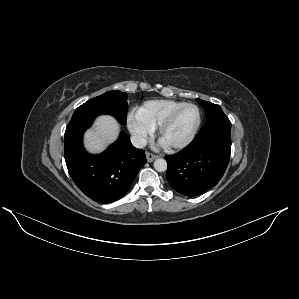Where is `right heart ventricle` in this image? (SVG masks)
I'll return each instance as SVG.
<instances>
[{"mask_svg": "<svg viewBox=\"0 0 299 299\" xmlns=\"http://www.w3.org/2000/svg\"><path fill=\"white\" fill-rule=\"evenodd\" d=\"M183 104L170 99L150 100L139 107L137 114L148 126L156 129L171 111Z\"/></svg>", "mask_w": 299, "mask_h": 299, "instance_id": "e07e8e85", "label": "right heart ventricle"}]
</instances>
